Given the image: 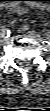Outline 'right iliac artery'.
Listing matches in <instances>:
<instances>
[{"instance_id":"right-iliac-artery-1","label":"right iliac artery","mask_w":50,"mask_h":111,"mask_svg":"<svg viewBox=\"0 0 50 111\" xmlns=\"http://www.w3.org/2000/svg\"><path fill=\"white\" fill-rule=\"evenodd\" d=\"M1 35H6V38L10 36V30L8 29H3Z\"/></svg>"}]
</instances>
